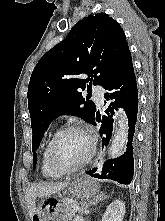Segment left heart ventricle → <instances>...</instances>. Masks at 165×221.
Returning <instances> with one entry per match:
<instances>
[{
	"label": "left heart ventricle",
	"mask_w": 165,
	"mask_h": 221,
	"mask_svg": "<svg viewBox=\"0 0 165 221\" xmlns=\"http://www.w3.org/2000/svg\"><path fill=\"white\" fill-rule=\"evenodd\" d=\"M90 143L87 136L79 131L62 135L54 146V160L62 168H70L80 163L88 154Z\"/></svg>",
	"instance_id": "left-heart-ventricle-1"
}]
</instances>
